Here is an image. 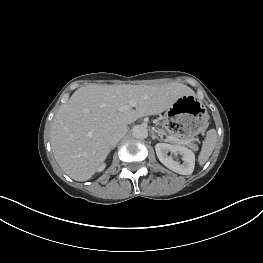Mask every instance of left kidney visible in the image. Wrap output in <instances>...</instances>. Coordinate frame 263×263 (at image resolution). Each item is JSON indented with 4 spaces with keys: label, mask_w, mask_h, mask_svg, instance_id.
Here are the masks:
<instances>
[{
    "label": "left kidney",
    "mask_w": 263,
    "mask_h": 263,
    "mask_svg": "<svg viewBox=\"0 0 263 263\" xmlns=\"http://www.w3.org/2000/svg\"><path fill=\"white\" fill-rule=\"evenodd\" d=\"M155 151L159 161L170 170L181 175L192 174L195 166V155L190 149L180 145L157 143ZM169 152L174 156L180 155L183 162L176 161L172 155H168Z\"/></svg>",
    "instance_id": "1"
}]
</instances>
